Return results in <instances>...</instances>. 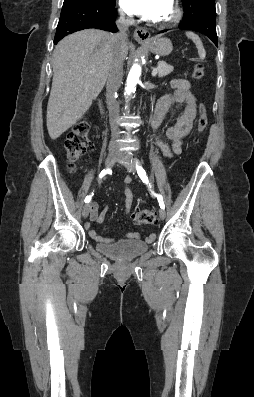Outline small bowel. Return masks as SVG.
I'll return each mask as SVG.
<instances>
[{
  "label": "small bowel",
  "mask_w": 254,
  "mask_h": 397,
  "mask_svg": "<svg viewBox=\"0 0 254 397\" xmlns=\"http://www.w3.org/2000/svg\"><path fill=\"white\" fill-rule=\"evenodd\" d=\"M174 92L169 95L161 97L155 108L154 116L152 119V128L154 130L158 129L161 125L165 115L167 114L169 108L174 103H184L186 105L183 114L178 118L177 122L166 130L167 137L172 141V145L168 146L165 142L157 140V146L161 149L164 156L171 158L178 155L182 151V140L191 131L193 126V121L196 117V99L190 91V83L185 79H176L171 82ZM132 178L126 176L124 179L125 188L124 193L126 197L125 208L126 213H131V204L133 200V193L130 188ZM105 212L99 213L98 205L93 203L90 209V221L100 224L105 218ZM85 229L87 230L89 236L96 242L109 243L113 240L110 238H105L98 234L93 228L90 222L85 224ZM127 238L131 240H136L140 238L139 233L129 232L126 234ZM154 235L149 236L148 240H153Z\"/></svg>",
  "instance_id": "1"
}]
</instances>
